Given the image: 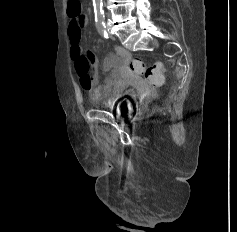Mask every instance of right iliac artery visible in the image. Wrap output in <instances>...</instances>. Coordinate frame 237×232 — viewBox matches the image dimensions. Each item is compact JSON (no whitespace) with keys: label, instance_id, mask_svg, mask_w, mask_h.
Instances as JSON below:
<instances>
[{"label":"right iliac artery","instance_id":"obj_1","mask_svg":"<svg viewBox=\"0 0 237 232\" xmlns=\"http://www.w3.org/2000/svg\"><path fill=\"white\" fill-rule=\"evenodd\" d=\"M97 30H98V32L100 33L101 36H103L106 39L108 38V34H107V31H106L105 24H98L97 25Z\"/></svg>","mask_w":237,"mask_h":232}]
</instances>
